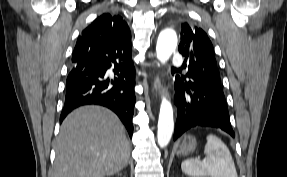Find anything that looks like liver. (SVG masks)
<instances>
[{
    "label": "liver",
    "mask_w": 287,
    "mask_h": 177,
    "mask_svg": "<svg viewBox=\"0 0 287 177\" xmlns=\"http://www.w3.org/2000/svg\"><path fill=\"white\" fill-rule=\"evenodd\" d=\"M51 177H105L128 163L130 144L125 128L110 110L84 106L63 121L55 141Z\"/></svg>",
    "instance_id": "obj_1"
}]
</instances>
